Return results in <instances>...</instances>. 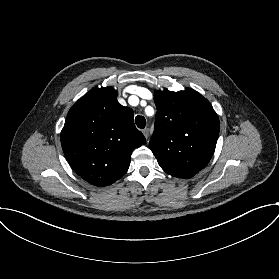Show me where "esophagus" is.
I'll return each instance as SVG.
<instances>
[{"mask_svg": "<svg viewBox=\"0 0 279 279\" xmlns=\"http://www.w3.org/2000/svg\"><path fill=\"white\" fill-rule=\"evenodd\" d=\"M149 134H150V130H149V128L147 127V128H145V129L143 130V135L145 136L146 139H148Z\"/></svg>", "mask_w": 279, "mask_h": 279, "instance_id": "34e87169", "label": "esophagus"}]
</instances>
